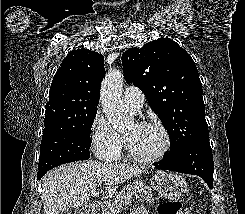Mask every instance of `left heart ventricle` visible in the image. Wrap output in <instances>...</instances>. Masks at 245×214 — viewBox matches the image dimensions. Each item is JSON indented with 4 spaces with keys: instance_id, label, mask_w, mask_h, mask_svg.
Masks as SVG:
<instances>
[{
    "instance_id": "b2bd125f",
    "label": "left heart ventricle",
    "mask_w": 245,
    "mask_h": 214,
    "mask_svg": "<svg viewBox=\"0 0 245 214\" xmlns=\"http://www.w3.org/2000/svg\"><path fill=\"white\" fill-rule=\"evenodd\" d=\"M123 135L131 150L140 156H153L163 146L161 132L152 127L141 126L134 122L123 130Z\"/></svg>"
}]
</instances>
